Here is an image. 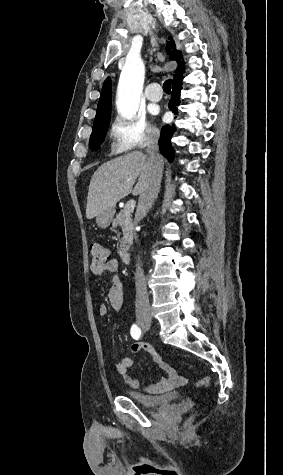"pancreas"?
<instances>
[{
  "instance_id": "obj_1",
  "label": "pancreas",
  "mask_w": 283,
  "mask_h": 475,
  "mask_svg": "<svg viewBox=\"0 0 283 475\" xmlns=\"http://www.w3.org/2000/svg\"><path fill=\"white\" fill-rule=\"evenodd\" d=\"M132 222V212L131 210H127L126 206L124 210H121V212L117 214L115 220L112 222V228L119 226L122 230L123 238H121L118 253H127L131 243H133L134 224H132Z\"/></svg>"
}]
</instances>
